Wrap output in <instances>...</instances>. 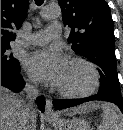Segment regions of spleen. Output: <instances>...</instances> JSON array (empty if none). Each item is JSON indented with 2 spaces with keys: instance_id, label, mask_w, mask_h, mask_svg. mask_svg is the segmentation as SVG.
Segmentation results:
<instances>
[{
  "instance_id": "1",
  "label": "spleen",
  "mask_w": 123,
  "mask_h": 130,
  "mask_svg": "<svg viewBox=\"0 0 123 130\" xmlns=\"http://www.w3.org/2000/svg\"><path fill=\"white\" fill-rule=\"evenodd\" d=\"M102 108V122L98 130H123V120L118 110L111 104L104 103Z\"/></svg>"
}]
</instances>
